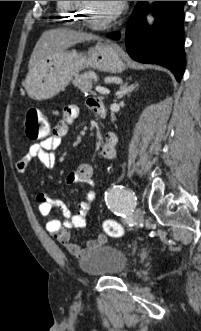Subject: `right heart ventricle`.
I'll use <instances>...</instances> for the list:
<instances>
[{"mask_svg": "<svg viewBox=\"0 0 201 331\" xmlns=\"http://www.w3.org/2000/svg\"><path fill=\"white\" fill-rule=\"evenodd\" d=\"M59 17L66 25L73 26L77 23V13L73 1H56Z\"/></svg>", "mask_w": 201, "mask_h": 331, "instance_id": "1", "label": "right heart ventricle"}]
</instances>
